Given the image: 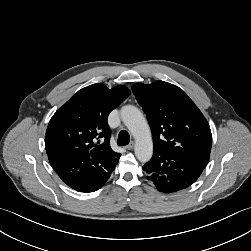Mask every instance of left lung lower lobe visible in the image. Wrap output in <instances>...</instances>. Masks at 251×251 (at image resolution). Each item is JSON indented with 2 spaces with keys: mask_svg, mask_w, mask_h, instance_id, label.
Instances as JSON below:
<instances>
[{
  "mask_svg": "<svg viewBox=\"0 0 251 251\" xmlns=\"http://www.w3.org/2000/svg\"><path fill=\"white\" fill-rule=\"evenodd\" d=\"M207 162L173 152L154 151L151 160L142 168L159 191L171 193L194 183Z\"/></svg>",
  "mask_w": 251,
  "mask_h": 251,
  "instance_id": "1",
  "label": "left lung lower lobe"
}]
</instances>
